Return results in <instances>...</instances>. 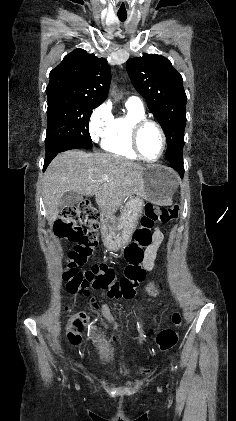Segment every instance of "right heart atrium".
Here are the masks:
<instances>
[{"instance_id":"right-heart-atrium-1","label":"right heart atrium","mask_w":236,"mask_h":421,"mask_svg":"<svg viewBox=\"0 0 236 421\" xmlns=\"http://www.w3.org/2000/svg\"><path fill=\"white\" fill-rule=\"evenodd\" d=\"M112 120L110 108L107 104L97 107L89 119V134L91 140L97 143Z\"/></svg>"}]
</instances>
